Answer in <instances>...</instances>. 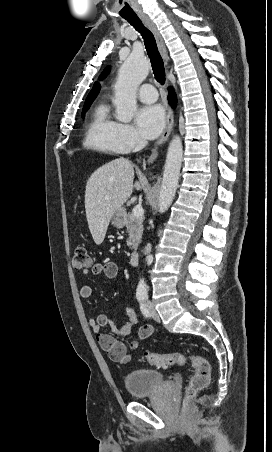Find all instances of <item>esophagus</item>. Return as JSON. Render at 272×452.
I'll list each match as a JSON object with an SVG mask.
<instances>
[{"label": "esophagus", "instance_id": "obj_1", "mask_svg": "<svg viewBox=\"0 0 272 452\" xmlns=\"http://www.w3.org/2000/svg\"><path fill=\"white\" fill-rule=\"evenodd\" d=\"M139 17L149 26V28L153 32L154 37H155L156 42H157L158 49H159V51H160V53H161V55H162V57H163V59L165 61V64L167 65L168 61H169V57H168L166 46L164 44L163 38L161 36V33L157 29L156 25L152 21H150L147 16L141 14ZM173 125H174L173 111H172L171 108H169V110L167 112L166 125H165V128H164V131H163L162 135L160 136L159 140L157 141V143H156V145H155V147L153 149L152 154L148 158V163L149 164L153 163V161L156 159V157L158 155L157 148H158L159 145H161L162 143H164L168 139V137H169V135H170V133H171V131L173 129Z\"/></svg>", "mask_w": 272, "mask_h": 452}]
</instances>
